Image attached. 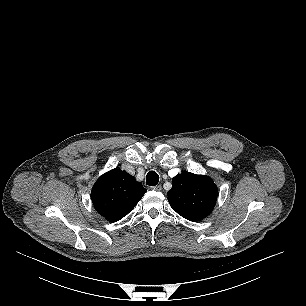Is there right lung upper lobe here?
Here are the masks:
<instances>
[{"mask_svg": "<svg viewBox=\"0 0 306 306\" xmlns=\"http://www.w3.org/2000/svg\"><path fill=\"white\" fill-rule=\"evenodd\" d=\"M146 191L142 183L126 171L113 169L96 181L91 199L99 214L116 222L133 210Z\"/></svg>", "mask_w": 306, "mask_h": 306, "instance_id": "cb5924a9", "label": "right lung upper lobe"}]
</instances>
